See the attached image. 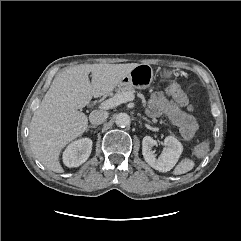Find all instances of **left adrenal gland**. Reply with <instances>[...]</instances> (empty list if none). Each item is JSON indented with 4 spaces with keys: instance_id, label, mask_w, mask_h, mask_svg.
Wrapping results in <instances>:
<instances>
[{
    "instance_id": "left-adrenal-gland-1",
    "label": "left adrenal gland",
    "mask_w": 241,
    "mask_h": 241,
    "mask_svg": "<svg viewBox=\"0 0 241 241\" xmlns=\"http://www.w3.org/2000/svg\"><path fill=\"white\" fill-rule=\"evenodd\" d=\"M143 120L147 121V122H151L149 119H147L146 117H142Z\"/></svg>"
}]
</instances>
